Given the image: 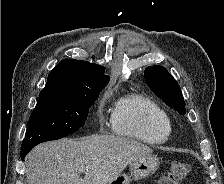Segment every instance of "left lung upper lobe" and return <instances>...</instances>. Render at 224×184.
I'll list each match as a JSON object with an SVG mask.
<instances>
[{
  "mask_svg": "<svg viewBox=\"0 0 224 184\" xmlns=\"http://www.w3.org/2000/svg\"><path fill=\"white\" fill-rule=\"evenodd\" d=\"M145 80L156 96L180 115L186 113L184 98L177 81L162 66H150L145 69Z\"/></svg>",
  "mask_w": 224,
  "mask_h": 184,
  "instance_id": "1",
  "label": "left lung upper lobe"
}]
</instances>
